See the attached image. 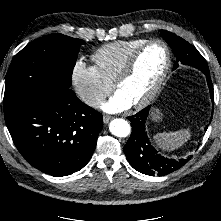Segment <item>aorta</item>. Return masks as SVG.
Instances as JSON below:
<instances>
[{
    "label": "aorta",
    "instance_id": "obj_1",
    "mask_svg": "<svg viewBox=\"0 0 221 221\" xmlns=\"http://www.w3.org/2000/svg\"><path fill=\"white\" fill-rule=\"evenodd\" d=\"M109 130L112 135L116 137H127L130 134V124L121 118L114 119L109 124Z\"/></svg>",
    "mask_w": 221,
    "mask_h": 221
}]
</instances>
